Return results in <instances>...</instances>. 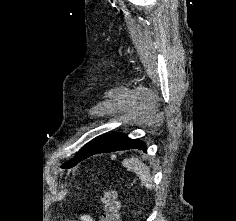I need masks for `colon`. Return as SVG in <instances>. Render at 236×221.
Returning <instances> with one entry per match:
<instances>
[{
    "instance_id": "colon-1",
    "label": "colon",
    "mask_w": 236,
    "mask_h": 221,
    "mask_svg": "<svg viewBox=\"0 0 236 221\" xmlns=\"http://www.w3.org/2000/svg\"><path fill=\"white\" fill-rule=\"evenodd\" d=\"M103 212L101 221H120V203L117 192L114 189L105 190L101 193Z\"/></svg>"
}]
</instances>
